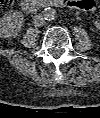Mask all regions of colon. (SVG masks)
I'll list each match as a JSON object with an SVG mask.
<instances>
[{"label":"colon","mask_w":100,"mask_h":118,"mask_svg":"<svg viewBox=\"0 0 100 118\" xmlns=\"http://www.w3.org/2000/svg\"><path fill=\"white\" fill-rule=\"evenodd\" d=\"M87 3L81 5L85 6L88 9H94L96 6L95 0H86ZM14 0H0V4L3 8H9L13 4Z\"/></svg>","instance_id":"5ec220e1"}]
</instances>
